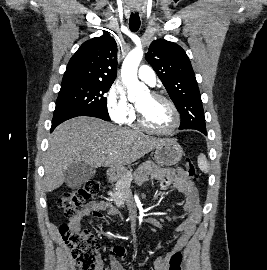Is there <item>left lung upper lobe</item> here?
<instances>
[{
	"mask_svg": "<svg viewBox=\"0 0 267 270\" xmlns=\"http://www.w3.org/2000/svg\"><path fill=\"white\" fill-rule=\"evenodd\" d=\"M145 58L181 114L179 129H206L200 92L185 51L176 43L158 39Z\"/></svg>",
	"mask_w": 267,
	"mask_h": 270,
	"instance_id": "5c2ea615",
	"label": "left lung upper lobe"
}]
</instances>
